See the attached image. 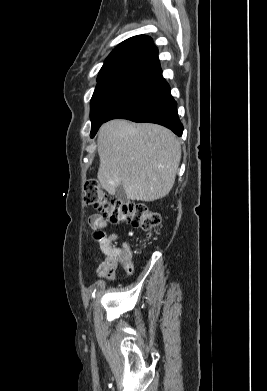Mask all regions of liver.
Wrapping results in <instances>:
<instances>
[{
  "mask_svg": "<svg viewBox=\"0 0 267 391\" xmlns=\"http://www.w3.org/2000/svg\"><path fill=\"white\" fill-rule=\"evenodd\" d=\"M97 178L111 195L120 184L131 200L151 202L172 189L181 159V144L167 128L116 119L98 132Z\"/></svg>",
  "mask_w": 267,
  "mask_h": 391,
  "instance_id": "obj_1",
  "label": "liver"
}]
</instances>
